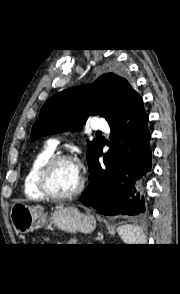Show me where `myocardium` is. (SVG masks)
Segmentation results:
<instances>
[{
	"instance_id": "myocardium-1",
	"label": "myocardium",
	"mask_w": 180,
	"mask_h": 294,
	"mask_svg": "<svg viewBox=\"0 0 180 294\" xmlns=\"http://www.w3.org/2000/svg\"><path fill=\"white\" fill-rule=\"evenodd\" d=\"M62 162H72L75 164V159L72 156L66 155V154L53 155L51 158H49L45 162V164L41 167V169L38 172V177H37L38 189L45 198H48L51 200H68L78 196L84 189L85 179L81 174H80V182L77 188L69 193L57 194L49 188L48 186L49 176L52 170L55 168V166H57L59 163H62Z\"/></svg>"
}]
</instances>
